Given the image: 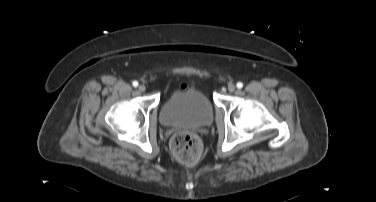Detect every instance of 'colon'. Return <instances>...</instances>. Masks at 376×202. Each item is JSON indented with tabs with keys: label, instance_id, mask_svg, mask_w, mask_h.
Wrapping results in <instances>:
<instances>
[{
	"label": "colon",
	"instance_id": "1",
	"mask_svg": "<svg viewBox=\"0 0 376 202\" xmlns=\"http://www.w3.org/2000/svg\"><path fill=\"white\" fill-rule=\"evenodd\" d=\"M170 149L179 162L191 164L201 157L203 143L201 138L194 133L178 132L171 138Z\"/></svg>",
	"mask_w": 376,
	"mask_h": 202
}]
</instances>
